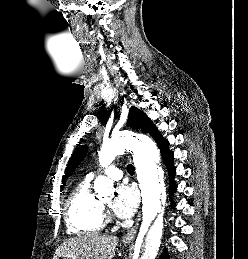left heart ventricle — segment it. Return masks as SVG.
<instances>
[{
    "instance_id": "left-heart-ventricle-1",
    "label": "left heart ventricle",
    "mask_w": 248,
    "mask_h": 259,
    "mask_svg": "<svg viewBox=\"0 0 248 259\" xmlns=\"http://www.w3.org/2000/svg\"><path fill=\"white\" fill-rule=\"evenodd\" d=\"M105 202H106V203H109V202H110V200H109V199H106V200H105Z\"/></svg>"
}]
</instances>
